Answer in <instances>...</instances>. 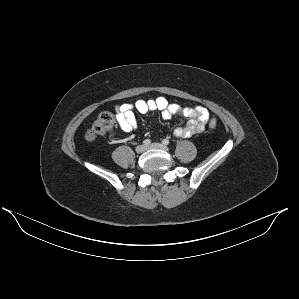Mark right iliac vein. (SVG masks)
Segmentation results:
<instances>
[{
    "label": "right iliac vein",
    "mask_w": 299,
    "mask_h": 299,
    "mask_svg": "<svg viewBox=\"0 0 299 299\" xmlns=\"http://www.w3.org/2000/svg\"><path fill=\"white\" fill-rule=\"evenodd\" d=\"M146 147L144 145H138L135 149L136 153L141 154L143 152H145Z\"/></svg>",
    "instance_id": "obj_1"
}]
</instances>
